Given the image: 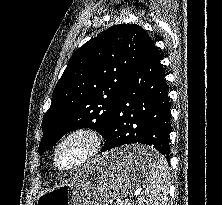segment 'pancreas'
<instances>
[{
	"label": "pancreas",
	"instance_id": "cf45deb5",
	"mask_svg": "<svg viewBox=\"0 0 222 205\" xmlns=\"http://www.w3.org/2000/svg\"><path fill=\"white\" fill-rule=\"evenodd\" d=\"M114 205H132V204L129 203V202L117 201V202L114 203Z\"/></svg>",
	"mask_w": 222,
	"mask_h": 205
}]
</instances>
